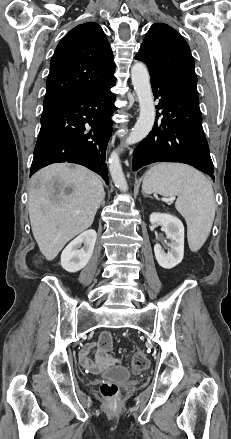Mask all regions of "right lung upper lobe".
<instances>
[{
	"mask_svg": "<svg viewBox=\"0 0 231 439\" xmlns=\"http://www.w3.org/2000/svg\"><path fill=\"white\" fill-rule=\"evenodd\" d=\"M114 71L112 50L102 28L95 22L76 26L59 42L51 59L42 114L107 85Z\"/></svg>",
	"mask_w": 231,
	"mask_h": 439,
	"instance_id": "cb5924a9",
	"label": "right lung upper lobe"
}]
</instances>
